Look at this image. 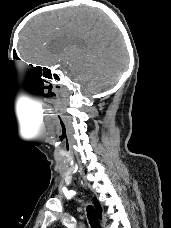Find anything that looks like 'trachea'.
Segmentation results:
<instances>
[{
  "label": "trachea",
  "instance_id": "trachea-1",
  "mask_svg": "<svg viewBox=\"0 0 171 228\" xmlns=\"http://www.w3.org/2000/svg\"><path fill=\"white\" fill-rule=\"evenodd\" d=\"M87 217L91 225V228H100V224L96 216L95 210L91 205L87 207Z\"/></svg>",
  "mask_w": 171,
  "mask_h": 228
}]
</instances>
